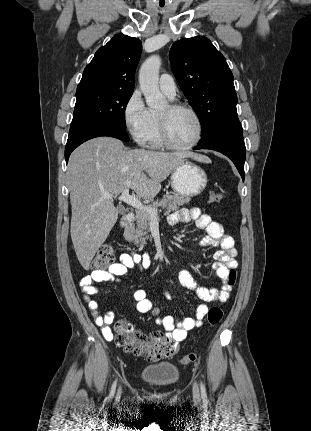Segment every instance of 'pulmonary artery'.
Wrapping results in <instances>:
<instances>
[{
	"instance_id": "1",
	"label": "pulmonary artery",
	"mask_w": 311,
	"mask_h": 431,
	"mask_svg": "<svg viewBox=\"0 0 311 431\" xmlns=\"http://www.w3.org/2000/svg\"><path fill=\"white\" fill-rule=\"evenodd\" d=\"M160 90L168 97L173 98L176 92V84L169 74H162L158 80Z\"/></svg>"
}]
</instances>
